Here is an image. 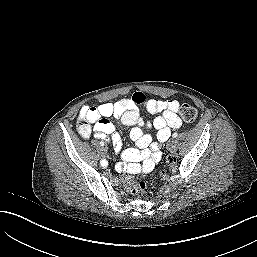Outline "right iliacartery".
I'll list each match as a JSON object with an SVG mask.
<instances>
[{"mask_svg":"<svg viewBox=\"0 0 257 257\" xmlns=\"http://www.w3.org/2000/svg\"><path fill=\"white\" fill-rule=\"evenodd\" d=\"M100 145H101V146H104V142L101 141V142H100ZM101 165H102V166H106V161L102 160V161H101Z\"/></svg>","mask_w":257,"mask_h":257,"instance_id":"right-iliac-artery-1","label":"right iliac artery"}]
</instances>
